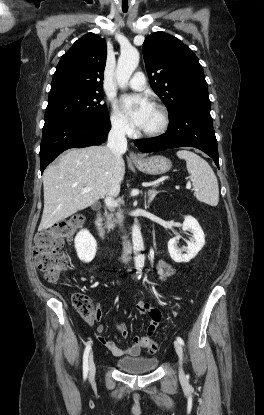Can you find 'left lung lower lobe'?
<instances>
[{"mask_svg":"<svg viewBox=\"0 0 264 415\" xmlns=\"http://www.w3.org/2000/svg\"><path fill=\"white\" fill-rule=\"evenodd\" d=\"M210 104H193L171 116L166 133L149 139L135 140L141 152L161 151L176 147H195L209 155L219 168L217 140L210 115Z\"/></svg>","mask_w":264,"mask_h":415,"instance_id":"0a47b994","label":"left lung lower lobe"}]
</instances>
